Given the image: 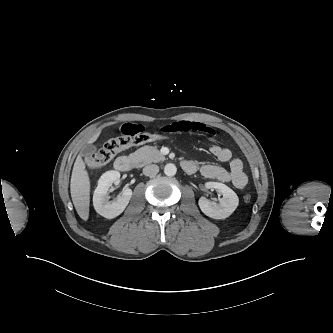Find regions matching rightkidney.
Instances as JSON below:
<instances>
[{
	"mask_svg": "<svg viewBox=\"0 0 333 333\" xmlns=\"http://www.w3.org/2000/svg\"><path fill=\"white\" fill-rule=\"evenodd\" d=\"M120 178L118 171H108L104 173L99 181L98 186L94 191L93 205L97 213L107 219H113L120 215L128 205L131 197L132 190L124 187L121 195L116 201L111 202L108 196V189L112 184Z\"/></svg>",
	"mask_w": 333,
	"mask_h": 333,
	"instance_id": "obj_1",
	"label": "right kidney"
}]
</instances>
